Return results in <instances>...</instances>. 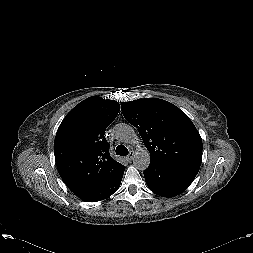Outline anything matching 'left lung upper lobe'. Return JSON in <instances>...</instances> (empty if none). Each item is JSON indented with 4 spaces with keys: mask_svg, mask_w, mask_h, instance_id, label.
I'll use <instances>...</instances> for the list:
<instances>
[{
    "mask_svg": "<svg viewBox=\"0 0 253 253\" xmlns=\"http://www.w3.org/2000/svg\"><path fill=\"white\" fill-rule=\"evenodd\" d=\"M121 110L125 119L138 129L151 161L201 165V136L178 107L162 99L146 98L122 102Z\"/></svg>",
    "mask_w": 253,
    "mask_h": 253,
    "instance_id": "obj_1",
    "label": "left lung upper lobe"
}]
</instances>
